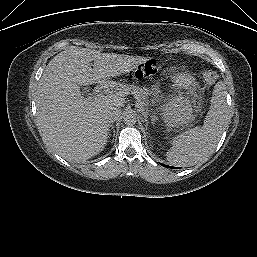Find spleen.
Masks as SVG:
<instances>
[{"label":"spleen","instance_id":"spleen-1","mask_svg":"<svg viewBox=\"0 0 257 257\" xmlns=\"http://www.w3.org/2000/svg\"><path fill=\"white\" fill-rule=\"evenodd\" d=\"M227 119L226 91L222 84H217L203 126L188 129L172 139V147L166 154L168 162L193 166L207 161L220 141Z\"/></svg>","mask_w":257,"mask_h":257}]
</instances>
